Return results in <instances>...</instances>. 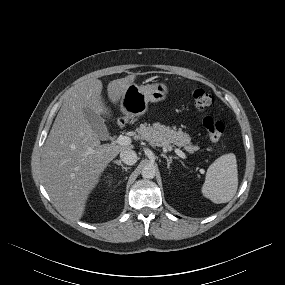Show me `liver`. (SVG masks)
<instances>
[{
    "instance_id": "1",
    "label": "liver",
    "mask_w": 285,
    "mask_h": 285,
    "mask_svg": "<svg viewBox=\"0 0 285 285\" xmlns=\"http://www.w3.org/2000/svg\"><path fill=\"white\" fill-rule=\"evenodd\" d=\"M134 79L135 76L129 75L111 81L107 86L109 99L115 104L121 102ZM102 88L99 79L91 78L68 91L42 151L44 186L61 213L73 220L82 218L86 201L108 164L121 151L132 148L100 145L99 137L85 118L86 108L107 118L111 116Z\"/></svg>"
}]
</instances>
